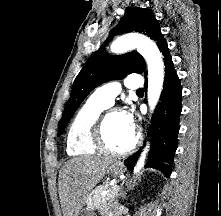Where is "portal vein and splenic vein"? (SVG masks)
Listing matches in <instances>:
<instances>
[{
    "instance_id": "obj_1",
    "label": "portal vein and splenic vein",
    "mask_w": 221,
    "mask_h": 216,
    "mask_svg": "<svg viewBox=\"0 0 221 216\" xmlns=\"http://www.w3.org/2000/svg\"><path fill=\"white\" fill-rule=\"evenodd\" d=\"M115 188H118V186H116V185H114L113 187H112V189H115ZM109 191H104V192H102V195H105V194H107Z\"/></svg>"
}]
</instances>
